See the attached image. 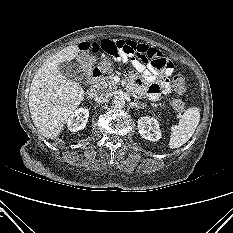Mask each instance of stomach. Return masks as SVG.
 I'll list each match as a JSON object with an SVG mask.
<instances>
[{
  "label": "stomach",
  "instance_id": "0dacf381",
  "mask_svg": "<svg viewBox=\"0 0 233 233\" xmlns=\"http://www.w3.org/2000/svg\"><path fill=\"white\" fill-rule=\"evenodd\" d=\"M98 68L106 74H109L113 70V62L110 60H103L99 63Z\"/></svg>",
  "mask_w": 233,
  "mask_h": 233
}]
</instances>
